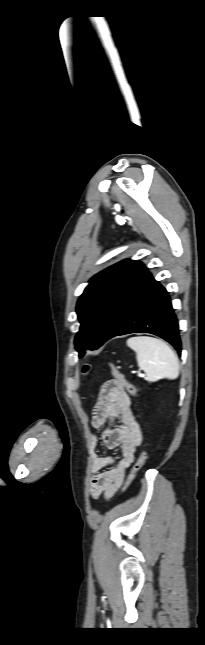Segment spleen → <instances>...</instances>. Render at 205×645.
Wrapping results in <instances>:
<instances>
[{
    "label": "spleen",
    "instance_id": "3e777b00",
    "mask_svg": "<svg viewBox=\"0 0 205 645\" xmlns=\"http://www.w3.org/2000/svg\"><path fill=\"white\" fill-rule=\"evenodd\" d=\"M127 346L136 352L138 366L149 382L161 379L174 380L179 375V361L175 352L164 341L138 336L127 340Z\"/></svg>",
    "mask_w": 205,
    "mask_h": 645
}]
</instances>
